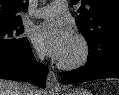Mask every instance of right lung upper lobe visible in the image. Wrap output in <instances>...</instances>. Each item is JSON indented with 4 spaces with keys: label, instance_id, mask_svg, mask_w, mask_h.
Instances as JSON below:
<instances>
[{
    "label": "right lung upper lobe",
    "instance_id": "1",
    "mask_svg": "<svg viewBox=\"0 0 119 95\" xmlns=\"http://www.w3.org/2000/svg\"><path fill=\"white\" fill-rule=\"evenodd\" d=\"M29 0H0V25L22 22L21 12L28 10Z\"/></svg>",
    "mask_w": 119,
    "mask_h": 95
}]
</instances>
